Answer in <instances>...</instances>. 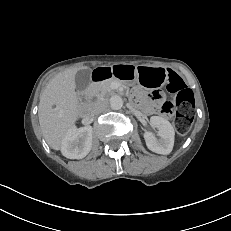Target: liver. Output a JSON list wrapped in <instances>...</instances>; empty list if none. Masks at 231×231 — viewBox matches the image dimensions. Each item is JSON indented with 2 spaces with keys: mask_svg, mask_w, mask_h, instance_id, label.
Returning a JSON list of instances; mask_svg holds the SVG:
<instances>
[{
  "mask_svg": "<svg viewBox=\"0 0 231 231\" xmlns=\"http://www.w3.org/2000/svg\"><path fill=\"white\" fill-rule=\"evenodd\" d=\"M81 68H70L49 81L40 95L38 117L47 144L59 150L67 132L80 116L75 92V75Z\"/></svg>",
  "mask_w": 231,
  "mask_h": 231,
  "instance_id": "obj_1",
  "label": "liver"
}]
</instances>
